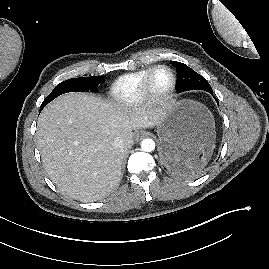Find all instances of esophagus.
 I'll return each mask as SVG.
<instances>
[{"instance_id": "1", "label": "esophagus", "mask_w": 269, "mask_h": 269, "mask_svg": "<svg viewBox=\"0 0 269 269\" xmlns=\"http://www.w3.org/2000/svg\"><path fill=\"white\" fill-rule=\"evenodd\" d=\"M146 135V133L144 131H140L136 134V139H142L144 136Z\"/></svg>"}]
</instances>
